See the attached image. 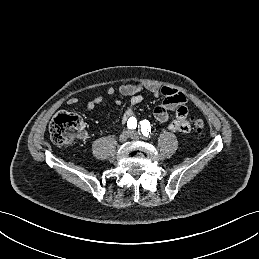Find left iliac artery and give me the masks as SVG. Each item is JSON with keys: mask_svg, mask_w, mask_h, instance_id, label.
Here are the masks:
<instances>
[{"mask_svg": "<svg viewBox=\"0 0 259 259\" xmlns=\"http://www.w3.org/2000/svg\"><path fill=\"white\" fill-rule=\"evenodd\" d=\"M140 126H141V133L143 134V136L148 137L149 132H151L150 122L148 120L140 121Z\"/></svg>", "mask_w": 259, "mask_h": 259, "instance_id": "left-iliac-artery-1", "label": "left iliac artery"}]
</instances>
